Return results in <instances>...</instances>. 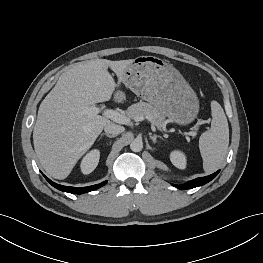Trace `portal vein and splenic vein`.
I'll return each instance as SVG.
<instances>
[{
    "label": "portal vein and splenic vein",
    "instance_id": "1",
    "mask_svg": "<svg viewBox=\"0 0 263 263\" xmlns=\"http://www.w3.org/2000/svg\"><path fill=\"white\" fill-rule=\"evenodd\" d=\"M101 111V108H98L96 106H89V107H85L83 112L84 114H98ZM103 115L111 120H113L116 123H120V124H128L130 122V119L125 116L120 114L119 112L112 110V109H104L103 110ZM139 120H142L143 117H139ZM186 135L188 136H196L197 133L194 131L191 132H187Z\"/></svg>",
    "mask_w": 263,
    "mask_h": 263
}]
</instances>
